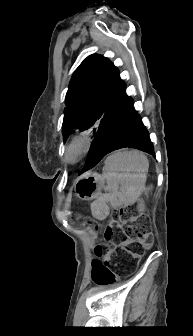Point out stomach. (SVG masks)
<instances>
[{"label": "stomach", "instance_id": "obj_1", "mask_svg": "<svg viewBox=\"0 0 193 336\" xmlns=\"http://www.w3.org/2000/svg\"><path fill=\"white\" fill-rule=\"evenodd\" d=\"M104 178L98 173H87L76 180L75 191L82 200L90 201L101 194Z\"/></svg>", "mask_w": 193, "mask_h": 336}]
</instances>
